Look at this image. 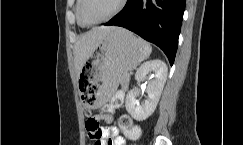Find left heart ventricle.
<instances>
[{
	"instance_id": "left-heart-ventricle-1",
	"label": "left heart ventricle",
	"mask_w": 243,
	"mask_h": 145,
	"mask_svg": "<svg viewBox=\"0 0 243 145\" xmlns=\"http://www.w3.org/2000/svg\"><path fill=\"white\" fill-rule=\"evenodd\" d=\"M121 0H86L84 17L89 23L98 22L110 15L119 5Z\"/></svg>"
}]
</instances>
